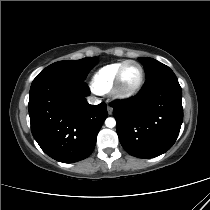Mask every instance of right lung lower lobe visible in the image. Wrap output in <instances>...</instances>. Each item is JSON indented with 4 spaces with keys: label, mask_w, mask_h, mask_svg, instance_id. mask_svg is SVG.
<instances>
[{
    "label": "right lung lower lobe",
    "mask_w": 210,
    "mask_h": 210,
    "mask_svg": "<svg viewBox=\"0 0 210 210\" xmlns=\"http://www.w3.org/2000/svg\"><path fill=\"white\" fill-rule=\"evenodd\" d=\"M84 80L66 76L35 78L29 94L33 137L53 159L72 163L87 158L107 117L106 104L90 105Z\"/></svg>",
    "instance_id": "1"
}]
</instances>
